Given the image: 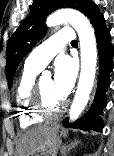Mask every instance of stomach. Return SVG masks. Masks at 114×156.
I'll return each instance as SVG.
<instances>
[{"label":"stomach","instance_id":"1","mask_svg":"<svg viewBox=\"0 0 114 156\" xmlns=\"http://www.w3.org/2000/svg\"><path fill=\"white\" fill-rule=\"evenodd\" d=\"M64 130L58 124H53L47 134L46 139L39 149L32 156H56L57 151L61 146L60 134Z\"/></svg>","mask_w":114,"mask_h":156}]
</instances>
